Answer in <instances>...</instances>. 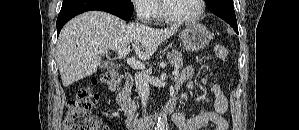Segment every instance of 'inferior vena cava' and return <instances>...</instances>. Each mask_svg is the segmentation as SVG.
<instances>
[{"instance_id": "obj_1", "label": "inferior vena cava", "mask_w": 299, "mask_h": 130, "mask_svg": "<svg viewBox=\"0 0 299 130\" xmlns=\"http://www.w3.org/2000/svg\"><path fill=\"white\" fill-rule=\"evenodd\" d=\"M135 84L139 97L141 98V103L143 107V116L145 118L147 100L150 93V87L148 82V75L145 72H138L135 74ZM139 130L145 129V122L142 119L138 126Z\"/></svg>"}]
</instances>
